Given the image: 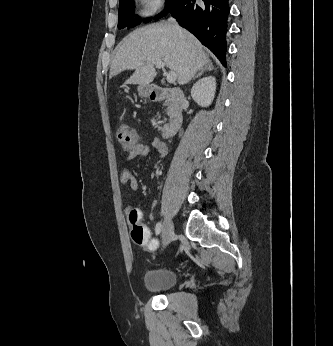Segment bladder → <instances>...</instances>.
Instances as JSON below:
<instances>
[{
	"mask_svg": "<svg viewBox=\"0 0 333 346\" xmlns=\"http://www.w3.org/2000/svg\"><path fill=\"white\" fill-rule=\"evenodd\" d=\"M178 275L171 269L151 270L145 277V287L153 293L166 292L175 287Z\"/></svg>",
	"mask_w": 333,
	"mask_h": 346,
	"instance_id": "31cf9c89",
	"label": "bladder"
}]
</instances>
